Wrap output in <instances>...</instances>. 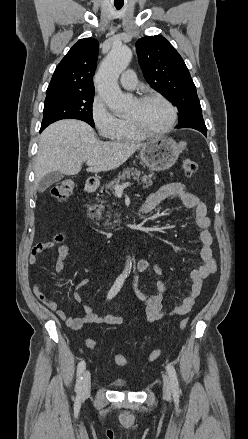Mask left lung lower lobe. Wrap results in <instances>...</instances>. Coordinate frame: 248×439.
Segmentation results:
<instances>
[{"label":"left lung lower lobe","instance_id":"left-lung-lower-lobe-1","mask_svg":"<svg viewBox=\"0 0 248 439\" xmlns=\"http://www.w3.org/2000/svg\"><path fill=\"white\" fill-rule=\"evenodd\" d=\"M199 131L202 132L205 136H207V129L199 130Z\"/></svg>","mask_w":248,"mask_h":439}]
</instances>
